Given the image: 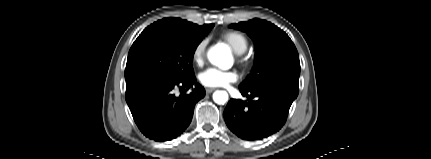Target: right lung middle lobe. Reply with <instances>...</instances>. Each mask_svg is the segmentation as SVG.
Here are the masks:
<instances>
[{"mask_svg":"<svg viewBox=\"0 0 431 159\" xmlns=\"http://www.w3.org/2000/svg\"><path fill=\"white\" fill-rule=\"evenodd\" d=\"M195 35L164 23L155 22L145 28L130 48L126 84L149 75L161 74L178 80L194 77V52L213 28Z\"/></svg>","mask_w":431,"mask_h":159,"instance_id":"obj_1","label":"right lung middle lobe"}]
</instances>
